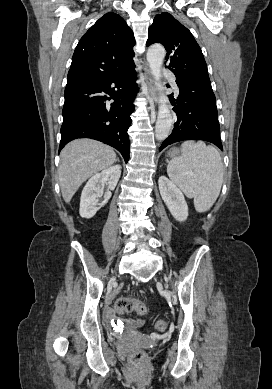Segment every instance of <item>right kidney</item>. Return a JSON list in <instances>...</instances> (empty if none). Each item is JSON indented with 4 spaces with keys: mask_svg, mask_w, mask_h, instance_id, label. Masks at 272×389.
Listing matches in <instances>:
<instances>
[{
    "mask_svg": "<svg viewBox=\"0 0 272 389\" xmlns=\"http://www.w3.org/2000/svg\"><path fill=\"white\" fill-rule=\"evenodd\" d=\"M121 175V166L115 165L104 169L101 173L92 176L86 183L80 199L79 213L82 218L90 219L102 207L98 202L103 193V186L108 185V189L114 190Z\"/></svg>",
    "mask_w": 272,
    "mask_h": 389,
    "instance_id": "ca27d5eb",
    "label": "right kidney"
}]
</instances>
